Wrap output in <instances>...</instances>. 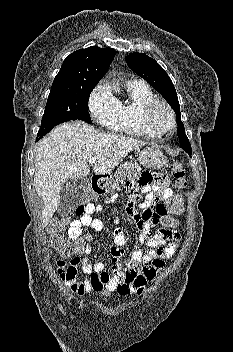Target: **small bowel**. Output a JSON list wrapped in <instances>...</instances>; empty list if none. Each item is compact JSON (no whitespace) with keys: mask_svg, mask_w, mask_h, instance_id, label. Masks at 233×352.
<instances>
[{"mask_svg":"<svg viewBox=\"0 0 233 352\" xmlns=\"http://www.w3.org/2000/svg\"><path fill=\"white\" fill-rule=\"evenodd\" d=\"M127 188L131 200L126 207V213L138 227V239L148 246V250L145 254L140 250H135L128 264L122 265L120 257L124 253L122 247L126 244L127 239L122 230L116 228L113 232L114 246L111 247L113 265L111 275H109L105 271L103 262L96 263L92 268L86 257L92 252V246L87 244L82 250L85 255L82 262L79 257L72 258L67 265V275L63 278L71 292L77 296H84L92 292L89 280L92 272L108 277L104 285L106 290L117 291L122 295L133 293L137 287L145 285L162 271L164 260L172 257L177 251L180 234L176 230L166 229L162 226L153 233L162 217L157 209H153L154 202L168 200L173 194L165 177L158 173L144 171L138 181L130 183ZM139 191L146 194L145 200L140 205L141 213H138L135 208V203L139 199ZM102 209L101 205L87 203L84 214L70 222L69 238L79 240L82 235V227H91L97 232L101 231L103 223L101 220L93 218V214L101 212ZM119 221V217H116L115 222L119 223ZM166 242L170 243L165 245ZM81 268L84 278L79 277Z\"/></svg>","mask_w":233,"mask_h":352,"instance_id":"small-bowel-1","label":"small bowel"}]
</instances>
